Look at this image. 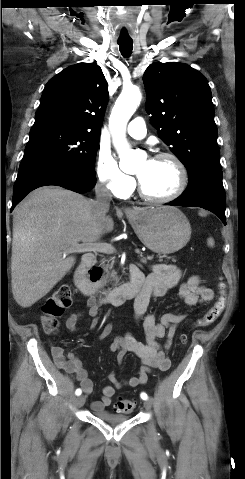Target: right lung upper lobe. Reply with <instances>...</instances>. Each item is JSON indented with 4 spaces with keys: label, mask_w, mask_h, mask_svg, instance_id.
Returning <instances> with one entry per match:
<instances>
[{
    "label": "right lung upper lobe",
    "mask_w": 245,
    "mask_h": 479,
    "mask_svg": "<svg viewBox=\"0 0 245 479\" xmlns=\"http://www.w3.org/2000/svg\"><path fill=\"white\" fill-rule=\"evenodd\" d=\"M108 85L95 63H79L45 86L33 127L62 126L100 134Z\"/></svg>",
    "instance_id": "cb5924a9"
}]
</instances>
